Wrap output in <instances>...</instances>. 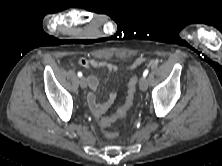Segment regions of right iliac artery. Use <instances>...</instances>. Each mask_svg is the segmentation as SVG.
<instances>
[{"label": "right iliac artery", "mask_w": 222, "mask_h": 166, "mask_svg": "<svg viewBox=\"0 0 222 166\" xmlns=\"http://www.w3.org/2000/svg\"><path fill=\"white\" fill-rule=\"evenodd\" d=\"M79 77H82V72H78L77 74Z\"/></svg>", "instance_id": "82829eb1"}]
</instances>
